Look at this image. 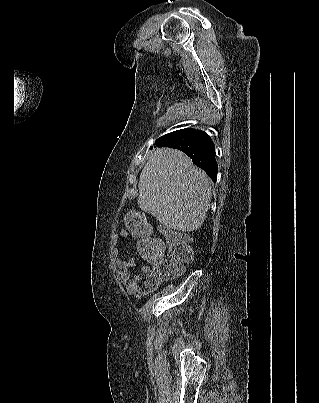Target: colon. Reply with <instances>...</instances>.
I'll return each mask as SVG.
<instances>
[{"mask_svg":"<svg viewBox=\"0 0 319 403\" xmlns=\"http://www.w3.org/2000/svg\"><path fill=\"white\" fill-rule=\"evenodd\" d=\"M125 223L129 232L139 239L137 250L153 264L152 268L137 276L136 287L139 293L153 292L162 281L180 276L185 266L192 261V247L184 232L164 230V241L168 245L165 257L163 243L150 235L148 222L140 212H130Z\"/></svg>","mask_w":319,"mask_h":403,"instance_id":"obj_1","label":"colon"}]
</instances>
